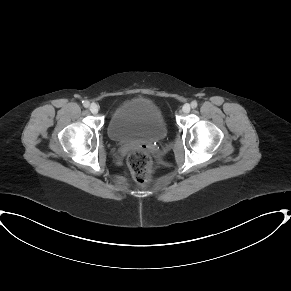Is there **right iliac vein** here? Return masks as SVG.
<instances>
[{"label":"right iliac vein","instance_id":"63e3f726","mask_svg":"<svg viewBox=\"0 0 291 291\" xmlns=\"http://www.w3.org/2000/svg\"><path fill=\"white\" fill-rule=\"evenodd\" d=\"M89 110H90L91 113L97 114L98 111H99V106L97 104H95V103H92L90 105V107H89Z\"/></svg>","mask_w":291,"mask_h":291}]
</instances>
